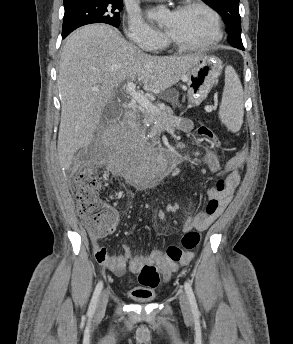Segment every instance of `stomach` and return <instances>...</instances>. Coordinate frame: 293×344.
Masks as SVG:
<instances>
[{"mask_svg": "<svg viewBox=\"0 0 293 344\" xmlns=\"http://www.w3.org/2000/svg\"><path fill=\"white\" fill-rule=\"evenodd\" d=\"M222 69L221 61L213 56L203 55L182 77L188 87L189 106L199 105L206 99Z\"/></svg>", "mask_w": 293, "mask_h": 344, "instance_id": "obj_1", "label": "stomach"}]
</instances>
